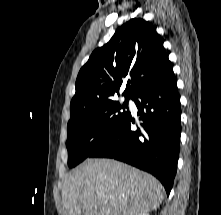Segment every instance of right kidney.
I'll list each match as a JSON object with an SVG mask.
<instances>
[{"mask_svg": "<svg viewBox=\"0 0 221 215\" xmlns=\"http://www.w3.org/2000/svg\"><path fill=\"white\" fill-rule=\"evenodd\" d=\"M139 215H149L148 213H140Z\"/></svg>", "mask_w": 221, "mask_h": 215, "instance_id": "ca27d5eb", "label": "right kidney"}]
</instances>
